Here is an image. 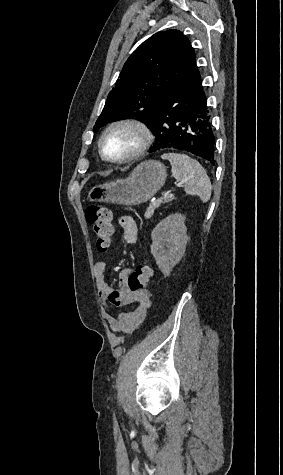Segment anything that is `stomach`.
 <instances>
[{
    "mask_svg": "<svg viewBox=\"0 0 283 475\" xmlns=\"http://www.w3.org/2000/svg\"><path fill=\"white\" fill-rule=\"evenodd\" d=\"M167 172L157 160H145L134 168L126 180H114L95 186L88 192L90 202H110L123 206H139L148 202L165 184Z\"/></svg>",
    "mask_w": 283,
    "mask_h": 475,
    "instance_id": "obj_1",
    "label": "stomach"
}]
</instances>
